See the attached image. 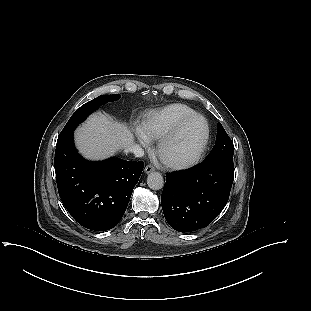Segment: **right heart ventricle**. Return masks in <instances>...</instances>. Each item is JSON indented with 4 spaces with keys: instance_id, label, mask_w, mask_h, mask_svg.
I'll return each instance as SVG.
<instances>
[{
    "instance_id": "e07e8e85",
    "label": "right heart ventricle",
    "mask_w": 311,
    "mask_h": 311,
    "mask_svg": "<svg viewBox=\"0 0 311 311\" xmlns=\"http://www.w3.org/2000/svg\"><path fill=\"white\" fill-rule=\"evenodd\" d=\"M196 113L185 104H171L159 110L152 111L144 118L141 131L149 140H159L183 118Z\"/></svg>"
}]
</instances>
